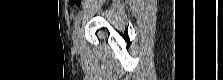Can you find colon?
Returning <instances> with one entry per match:
<instances>
[{
	"instance_id": "1",
	"label": "colon",
	"mask_w": 223,
	"mask_h": 80,
	"mask_svg": "<svg viewBox=\"0 0 223 80\" xmlns=\"http://www.w3.org/2000/svg\"><path fill=\"white\" fill-rule=\"evenodd\" d=\"M82 0H69V4L72 7H78L82 4Z\"/></svg>"
}]
</instances>
